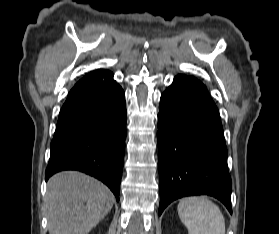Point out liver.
<instances>
[{
	"mask_svg": "<svg viewBox=\"0 0 279 234\" xmlns=\"http://www.w3.org/2000/svg\"><path fill=\"white\" fill-rule=\"evenodd\" d=\"M111 191L76 171L50 178L45 198L49 234H88L111 210Z\"/></svg>",
	"mask_w": 279,
	"mask_h": 234,
	"instance_id": "6515ba94",
	"label": "liver"
}]
</instances>
